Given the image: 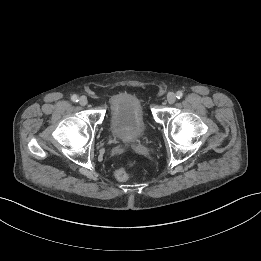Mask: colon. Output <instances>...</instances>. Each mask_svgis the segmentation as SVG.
<instances>
[{"mask_svg": "<svg viewBox=\"0 0 261 261\" xmlns=\"http://www.w3.org/2000/svg\"><path fill=\"white\" fill-rule=\"evenodd\" d=\"M115 178L120 182L126 181L128 178V173H127L126 169L120 168V169L116 170Z\"/></svg>", "mask_w": 261, "mask_h": 261, "instance_id": "5ec220e1", "label": "colon"}]
</instances>
